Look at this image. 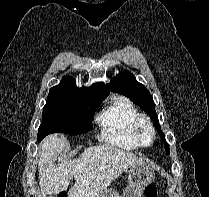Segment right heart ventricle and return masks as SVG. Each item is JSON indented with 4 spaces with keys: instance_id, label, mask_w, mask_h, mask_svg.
Returning <instances> with one entry per match:
<instances>
[{
    "instance_id": "right-heart-ventricle-1",
    "label": "right heart ventricle",
    "mask_w": 209,
    "mask_h": 197,
    "mask_svg": "<svg viewBox=\"0 0 209 197\" xmlns=\"http://www.w3.org/2000/svg\"><path fill=\"white\" fill-rule=\"evenodd\" d=\"M138 117V110L129 99L114 98L97 117V122L102 128V140L120 148L137 149L139 144L134 129Z\"/></svg>"
}]
</instances>
